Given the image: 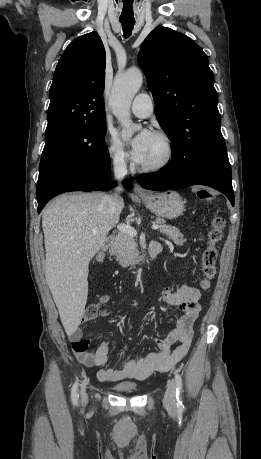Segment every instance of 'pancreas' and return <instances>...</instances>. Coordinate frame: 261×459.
I'll use <instances>...</instances> for the list:
<instances>
[{
  "mask_svg": "<svg viewBox=\"0 0 261 459\" xmlns=\"http://www.w3.org/2000/svg\"><path fill=\"white\" fill-rule=\"evenodd\" d=\"M156 223L164 226L160 229L162 234H165L169 239L173 240L176 245L182 246L186 239L178 228L165 225L166 221L163 218L157 217ZM110 254L114 255L123 267H127L137 263L139 252L135 239L123 232H119L113 240L110 248Z\"/></svg>",
  "mask_w": 261,
  "mask_h": 459,
  "instance_id": "pancreas-1",
  "label": "pancreas"
}]
</instances>
